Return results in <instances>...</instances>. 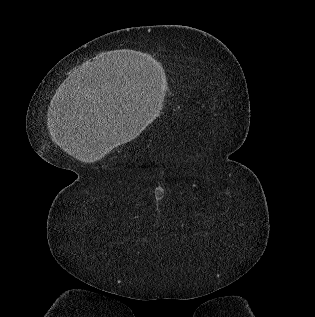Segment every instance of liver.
<instances>
[{
    "mask_svg": "<svg viewBox=\"0 0 315 317\" xmlns=\"http://www.w3.org/2000/svg\"><path fill=\"white\" fill-rule=\"evenodd\" d=\"M73 140H74V139H72V138L62 139V140L60 141V145L62 146V148H63L66 152H68V153H70V154H72V155H74V156H76V157H80L79 148L76 147V146H74V144H77V143H72V142H74ZM70 142H71V145H70ZM103 154H104V153H103ZM103 154H101V155H103Z\"/></svg>",
    "mask_w": 315,
    "mask_h": 317,
    "instance_id": "liver-1",
    "label": "liver"
}]
</instances>
